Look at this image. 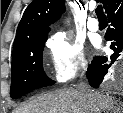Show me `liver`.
Returning <instances> with one entry per match:
<instances>
[{
  "label": "liver",
  "mask_w": 123,
  "mask_h": 113,
  "mask_svg": "<svg viewBox=\"0 0 123 113\" xmlns=\"http://www.w3.org/2000/svg\"><path fill=\"white\" fill-rule=\"evenodd\" d=\"M91 106L99 113L116 110L120 107L114 97L98 91L92 92L91 100L76 89H59L41 94L14 110V113H91Z\"/></svg>",
  "instance_id": "liver-1"
}]
</instances>
